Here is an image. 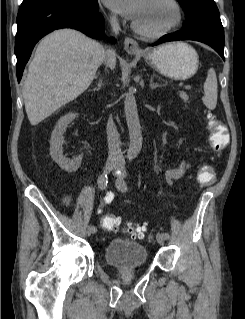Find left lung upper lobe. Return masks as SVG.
<instances>
[{
  "mask_svg": "<svg viewBox=\"0 0 245 319\" xmlns=\"http://www.w3.org/2000/svg\"><path fill=\"white\" fill-rule=\"evenodd\" d=\"M184 8L183 28L206 27L224 35L219 10L213 0H177Z\"/></svg>",
  "mask_w": 245,
  "mask_h": 319,
  "instance_id": "left-lung-upper-lobe-1",
  "label": "left lung upper lobe"
}]
</instances>
